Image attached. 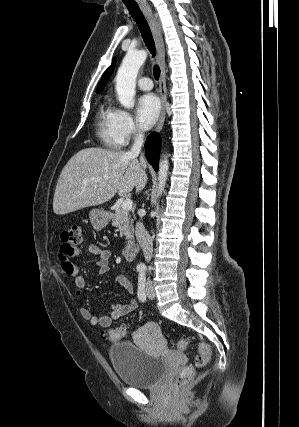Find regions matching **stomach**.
Wrapping results in <instances>:
<instances>
[{"instance_id":"stomach-1","label":"stomach","mask_w":299,"mask_h":427,"mask_svg":"<svg viewBox=\"0 0 299 427\" xmlns=\"http://www.w3.org/2000/svg\"><path fill=\"white\" fill-rule=\"evenodd\" d=\"M89 218L92 226L97 230L104 228L109 222L108 214L101 209H92L89 212Z\"/></svg>"}]
</instances>
